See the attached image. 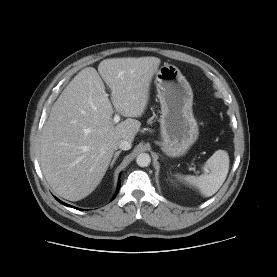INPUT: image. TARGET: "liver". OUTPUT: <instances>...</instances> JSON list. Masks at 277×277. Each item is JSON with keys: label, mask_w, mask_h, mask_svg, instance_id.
Returning <instances> with one entry per match:
<instances>
[{"label": "liver", "mask_w": 277, "mask_h": 277, "mask_svg": "<svg viewBox=\"0 0 277 277\" xmlns=\"http://www.w3.org/2000/svg\"><path fill=\"white\" fill-rule=\"evenodd\" d=\"M160 63L157 57L105 59L98 72L84 68L66 86L51 108L40 145L42 172L57 195L70 201L87 197L105 175L117 142H133L141 123L132 118L144 113ZM112 104L132 118L114 123Z\"/></svg>", "instance_id": "liver-1"}]
</instances>
